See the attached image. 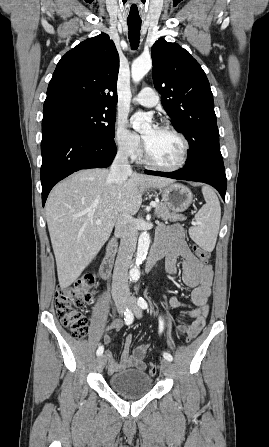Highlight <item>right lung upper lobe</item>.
I'll use <instances>...</instances> for the list:
<instances>
[{"instance_id": "cb5924a9", "label": "right lung upper lobe", "mask_w": 269, "mask_h": 447, "mask_svg": "<svg viewBox=\"0 0 269 447\" xmlns=\"http://www.w3.org/2000/svg\"><path fill=\"white\" fill-rule=\"evenodd\" d=\"M119 55L105 33L87 39L58 62L49 83L43 115L64 106L114 108Z\"/></svg>"}]
</instances>
